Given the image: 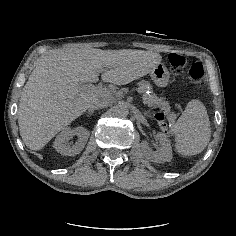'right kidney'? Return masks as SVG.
Wrapping results in <instances>:
<instances>
[{
  "label": "right kidney",
  "mask_w": 236,
  "mask_h": 236,
  "mask_svg": "<svg viewBox=\"0 0 236 236\" xmlns=\"http://www.w3.org/2000/svg\"><path fill=\"white\" fill-rule=\"evenodd\" d=\"M73 135H77L78 140L73 145L67 144ZM89 135L90 132L83 127H77L75 129L66 127L56 136L53 147L62 155L74 156L83 150Z\"/></svg>",
  "instance_id": "1"
}]
</instances>
